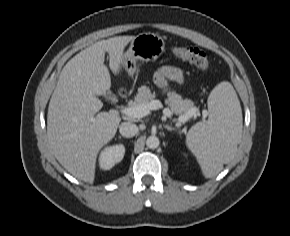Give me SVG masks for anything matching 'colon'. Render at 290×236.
I'll use <instances>...</instances> for the list:
<instances>
[{
  "instance_id": "colon-1",
  "label": "colon",
  "mask_w": 290,
  "mask_h": 236,
  "mask_svg": "<svg viewBox=\"0 0 290 236\" xmlns=\"http://www.w3.org/2000/svg\"><path fill=\"white\" fill-rule=\"evenodd\" d=\"M174 54L197 68L206 71L209 68V60L205 52L202 50L190 47V46H180L174 49Z\"/></svg>"
}]
</instances>
